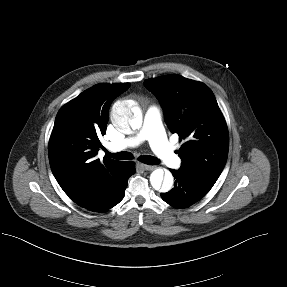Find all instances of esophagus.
Returning <instances> with one entry per match:
<instances>
[{
  "label": "esophagus",
  "instance_id": "34e87169",
  "mask_svg": "<svg viewBox=\"0 0 287 287\" xmlns=\"http://www.w3.org/2000/svg\"><path fill=\"white\" fill-rule=\"evenodd\" d=\"M142 168L147 171H152L156 168V166L142 164Z\"/></svg>",
  "mask_w": 287,
  "mask_h": 287
}]
</instances>
